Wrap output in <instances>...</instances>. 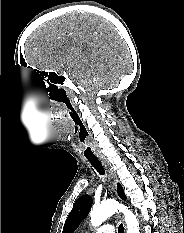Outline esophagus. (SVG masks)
Wrapping results in <instances>:
<instances>
[{"label": "esophagus", "instance_id": "obj_1", "mask_svg": "<svg viewBox=\"0 0 184 233\" xmlns=\"http://www.w3.org/2000/svg\"><path fill=\"white\" fill-rule=\"evenodd\" d=\"M100 160L108 172L109 179H110V188H111V191H113V193H114L116 191V186H117L116 173H115L113 167L111 166V164L107 160H105L104 158H100ZM124 230L126 231L125 225H124Z\"/></svg>", "mask_w": 184, "mask_h": 233}]
</instances>
